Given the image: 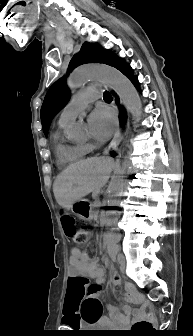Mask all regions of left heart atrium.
Returning a JSON list of instances; mask_svg holds the SVG:
<instances>
[{"instance_id": "left-heart-atrium-1", "label": "left heart atrium", "mask_w": 193, "mask_h": 336, "mask_svg": "<svg viewBox=\"0 0 193 336\" xmlns=\"http://www.w3.org/2000/svg\"><path fill=\"white\" fill-rule=\"evenodd\" d=\"M87 125L90 135L98 140H107L115 129L116 120L106 108L94 110L88 117Z\"/></svg>"}]
</instances>
